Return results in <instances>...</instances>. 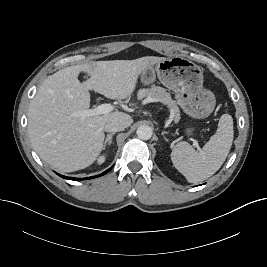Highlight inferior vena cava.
<instances>
[{
	"mask_svg": "<svg viewBox=\"0 0 267 267\" xmlns=\"http://www.w3.org/2000/svg\"><path fill=\"white\" fill-rule=\"evenodd\" d=\"M127 127V124L119 119H112L105 123L104 130L106 132H119L123 131Z\"/></svg>",
	"mask_w": 267,
	"mask_h": 267,
	"instance_id": "602c4592",
	"label": "inferior vena cava"
}]
</instances>
